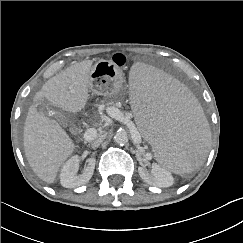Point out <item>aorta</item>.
<instances>
[{"mask_svg":"<svg viewBox=\"0 0 243 243\" xmlns=\"http://www.w3.org/2000/svg\"><path fill=\"white\" fill-rule=\"evenodd\" d=\"M114 142L118 145H125L127 144L128 140H129V137H128V134L126 133V131L124 130H118L114 137Z\"/></svg>","mask_w":243,"mask_h":243,"instance_id":"obj_1","label":"aorta"}]
</instances>
